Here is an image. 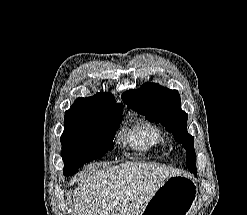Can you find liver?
<instances>
[{"label": "liver", "mask_w": 247, "mask_h": 215, "mask_svg": "<svg viewBox=\"0 0 247 215\" xmlns=\"http://www.w3.org/2000/svg\"><path fill=\"white\" fill-rule=\"evenodd\" d=\"M179 172L157 164L126 162L82 179L72 215H140L159 187Z\"/></svg>", "instance_id": "obj_1"}]
</instances>
